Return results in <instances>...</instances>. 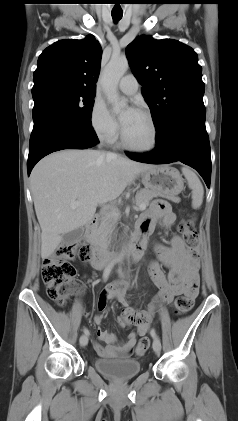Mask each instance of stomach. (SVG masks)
Listing matches in <instances>:
<instances>
[{"instance_id": "stomach-1", "label": "stomach", "mask_w": 238, "mask_h": 421, "mask_svg": "<svg viewBox=\"0 0 238 421\" xmlns=\"http://www.w3.org/2000/svg\"><path fill=\"white\" fill-rule=\"evenodd\" d=\"M141 178L146 188L169 197L178 195L184 188L179 171L167 165H153L141 172Z\"/></svg>"}]
</instances>
